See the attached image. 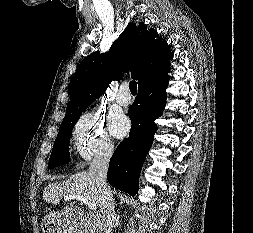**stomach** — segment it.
Masks as SVG:
<instances>
[{"mask_svg": "<svg viewBox=\"0 0 253 233\" xmlns=\"http://www.w3.org/2000/svg\"><path fill=\"white\" fill-rule=\"evenodd\" d=\"M41 225L44 233H82L71 210L50 213L43 219Z\"/></svg>", "mask_w": 253, "mask_h": 233, "instance_id": "0dacf381", "label": "stomach"}]
</instances>
